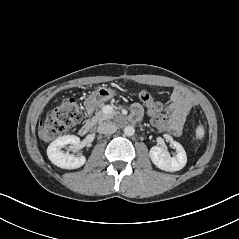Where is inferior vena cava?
Here are the masks:
<instances>
[{
	"mask_svg": "<svg viewBox=\"0 0 239 239\" xmlns=\"http://www.w3.org/2000/svg\"><path fill=\"white\" fill-rule=\"evenodd\" d=\"M117 127L111 122H104L98 126L97 131L101 134H112L116 132Z\"/></svg>",
	"mask_w": 239,
	"mask_h": 239,
	"instance_id": "1",
	"label": "inferior vena cava"
}]
</instances>
